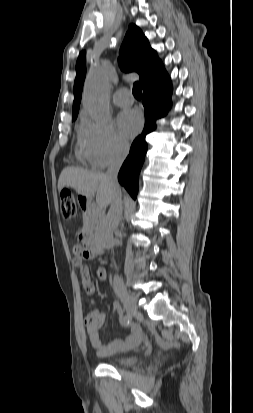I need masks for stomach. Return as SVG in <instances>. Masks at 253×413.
Instances as JSON below:
<instances>
[{"label":"stomach","instance_id":"obj_1","mask_svg":"<svg viewBox=\"0 0 253 413\" xmlns=\"http://www.w3.org/2000/svg\"><path fill=\"white\" fill-rule=\"evenodd\" d=\"M80 200H81L82 203H85L86 206H88L90 204L91 198H88L84 195H79L78 196V202H80Z\"/></svg>","mask_w":253,"mask_h":413}]
</instances>
